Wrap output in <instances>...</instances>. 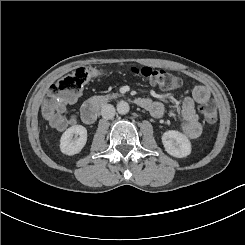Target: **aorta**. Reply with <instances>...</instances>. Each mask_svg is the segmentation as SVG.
<instances>
[{"label":"aorta","mask_w":245,"mask_h":245,"mask_svg":"<svg viewBox=\"0 0 245 245\" xmlns=\"http://www.w3.org/2000/svg\"><path fill=\"white\" fill-rule=\"evenodd\" d=\"M130 106L126 101H120L117 104V112L121 115H125L129 112Z\"/></svg>","instance_id":"762f6f07"}]
</instances>
